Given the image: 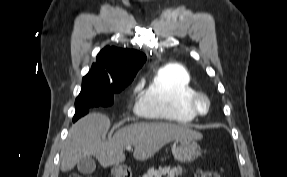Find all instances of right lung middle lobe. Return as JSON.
Here are the masks:
<instances>
[{"label": "right lung middle lobe", "instance_id": "1", "mask_svg": "<svg viewBox=\"0 0 287 177\" xmlns=\"http://www.w3.org/2000/svg\"><path fill=\"white\" fill-rule=\"evenodd\" d=\"M131 82L132 80L112 86H103L95 80L84 76L81 92L75 101L76 111L82 108L112 105L114 102L113 94L121 92ZM80 117L81 115L76 112L73 121H76Z\"/></svg>", "mask_w": 287, "mask_h": 177}]
</instances>
